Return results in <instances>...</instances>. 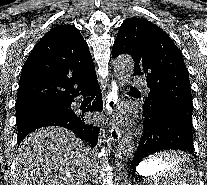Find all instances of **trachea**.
<instances>
[{
  "mask_svg": "<svg viewBox=\"0 0 207 185\" xmlns=\"http://www.w3.org/2000/svg\"><path fill=\"white\" fill-rule=\"evenodd\" d=\"M130 90H136L135 87H130Z\"/></svg>",
  "mask_w": 207,
  "mask_h": 185,
  "instance_id": "trachea-1",
  "label": "trachea"
}]
</instances>
